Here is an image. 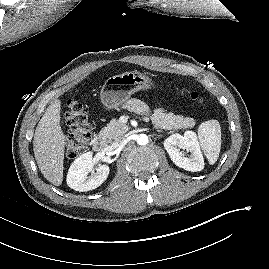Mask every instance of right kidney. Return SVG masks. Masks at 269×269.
Returning <instances> with one entry per match:
<instances>
[{"mask_svg": "<svg viewBox=\"0 0 269 269\" xmlns=\"http://www.w3.org/2000/svg\"><path fill=\"white\" fill-rule=\"evenodd\" d=\"M94 165L92 152L80 155L70 166L67 174V185L80 192L90 191L99 187L109 175V167L100 165L88 176Z\"/></svg>", "mask_w": 269, "mask_h": 269, "instance_id": "ca27d5eb", "label": "right kidney"}]
</instances>
